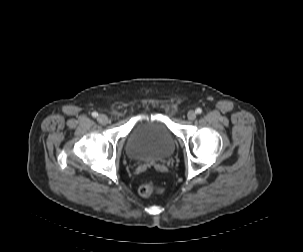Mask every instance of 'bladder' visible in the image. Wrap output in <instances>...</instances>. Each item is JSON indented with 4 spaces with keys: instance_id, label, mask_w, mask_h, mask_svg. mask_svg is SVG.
<instances>
[{
    "instance_id": "31cf9c89",
    "label": "bladder",
    "mask_w": 303,
    "mask_h": 252,
    "mask_svg": "<svg viewBox=\"0 0 303 252\" xmlns=\"http://www.w3.org/2000/svg\"><path fill=\"white\" fill-rule=\"evenodd\" d=\"M176 141L170 130L161 122H140L128 135L125 152L133 160L161 161L175 151Z\"/></svg>"
}]
</instances>
